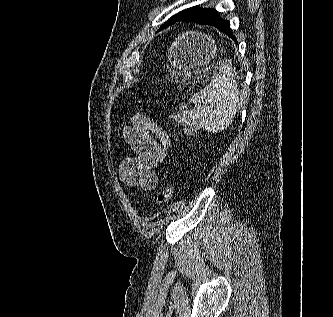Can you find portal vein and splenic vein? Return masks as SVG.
Listing matches in <instances>:
<instances>
[{
  "mask_svg": "<svg viewBox=\"0 0 333 317\" xmlns=\"http://www.w3.org/2000/svg\"><path fill=\"white\" fill-rule=\"evenodd\" d=\"M182 108L184 109V108H186V106H182Z\"/></svg>",
  "mask_w": 333,
  "mask_h": 317,
  "instance_id": "18ae733b",
  "label": "portal vein and splenic vein"
}]
</instances>
